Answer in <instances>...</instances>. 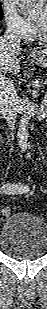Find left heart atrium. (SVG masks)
Segmentation results:
<instances>
[{
    "mask_svg": "<svg viewBox=\"0 0 47 309\" xmlns=\"http://www.w3.org/2000/svg\"><path fill=\"white\" fill-rule=\"evenodd\" d=\"M41 16H44V17H45V13H42ZM40 20H41V17H39V18L37 19V23H39Z\"/></svg>",
    "mask_w": 47,
    "mask_h": 309,
    "instance_id": "obj_1",
    "label": "left heart atrium"
}]
</instances>
